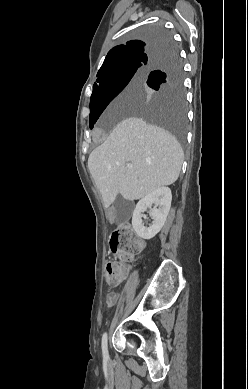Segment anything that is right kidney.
<instances>
[{
  "instance_id": "1",
  "label": "right kidney",
  "mask_w": 248,
  "mask_h": 389,
  "mask_svg": "<svg viewBox=\"0 0 248 389\" xmlns=\"http://www.w3.org/2000/svg\"><path fill=\"white\" fill-rule=\"evenodd\" d=\"M171 201V190L168 187H160L137 203L132 216V226L139 237L149 240L162 229L171 207ZM152 204L154 207L150 211V216L153 223L146 227L142 216L147 208H151Z\"/></svg>"
}]
</instances>
